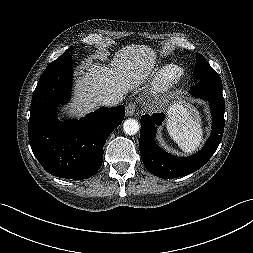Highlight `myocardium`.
I'll use <instances>...</instances> for the list:
<instances>
[{"instance_id":"obj_1","label":"myocardium","mask_w":253,"mask_h":253,"mask_svg":"<svg viewBox=\"0 0 253 253\" xmlns=\"http://www.w3.org/2000/svg\"><path fill=\"white\" fill-rule=\"evenodd\" d=\"M185 76L184 69L175 64L165 66L157 77V83L162 87H170L179 83Z\"/></svg>"}]
</instances>
